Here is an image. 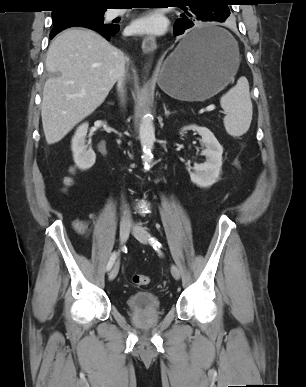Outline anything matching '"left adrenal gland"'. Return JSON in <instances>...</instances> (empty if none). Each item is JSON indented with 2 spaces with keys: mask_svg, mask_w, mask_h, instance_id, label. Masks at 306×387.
Instances as JSON below:
<instances>
[{
  "mask_svg": "<svg viewBox=\"0 0 306 387\" xmlns=\"http://www.w3.org/2000/svg\"><path fill=\"white\" fill-rule=\"evenodd\" d=\"M163 109H164V114H165L166 117H168L171 114L176 113V111H169V110H167V107H166L165 103H163Z\"/></svg>",
  "mask_w": 306,
  "mask_h": 387,
  "instance_id": "left-adrenal-gland-1",
  "label": "left adrenal gland"
}]
</instances>
